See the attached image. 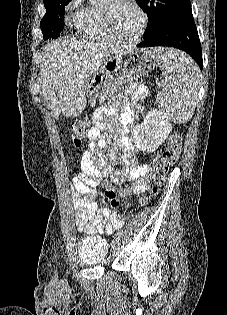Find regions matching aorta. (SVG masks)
Segmentation results:
<instances>
[{
  "mask_svg": "<svg viewBox=\"0 0 227 315\" xmlns=\"http://www.w3.org/2000/svg\"><path fill=\"white\" fill-rule=\"evenodd\" d=\"M102 0H89V2H91L92 4H95V3H99L101 2Z\"/></svg>",
  "mask_w": 227,
  "mask_h": 315,
  "instance_id": "1",
  "label": "aorta"
}]
</instances>
